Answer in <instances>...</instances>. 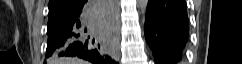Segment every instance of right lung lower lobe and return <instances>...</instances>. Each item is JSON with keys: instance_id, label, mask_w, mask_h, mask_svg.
<instances>
[{"instance_id": "obj_1", "label": "right lung lower lobe", "mask_w": 242, "mask_h": 64, "mask_svg": "<svg viewBox=\"0 0 242 64\" xmlns=\"http://www.w3.org/2000/svg\"><path fill=\"white\" fill-rule=\"evenodd\" d=\"M115 17V0H84L74 16L47 30L46 57H79L93 64H115L105 48ZM92 24L95 25L91 29Z\"/></svg>"}]
</instances>
